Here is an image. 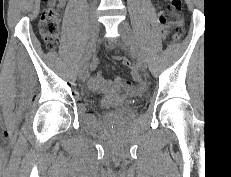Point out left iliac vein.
<instances>
[{"label": "left iliac vein", "instance_id": "4c4485c4", "mask_svg": "<svg viewBox=\"0 0 231 177\" xmlns=\"http://www.w3.org/2000/svg\"><path fill=\"white\" fill-rule=\"evenodd\" d=\"M119 31L122 35V40L124 44L128 47H130L137 59L138 66L141 71H145L146 69V60L145 56L136 40V37L130 27V25L126 22L123 21L119 24Z\"/></svg>", "mask_w": 231, "mask_h": 177}]
</instances>
